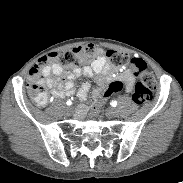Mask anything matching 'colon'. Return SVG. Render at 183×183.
Segmentation results:
<instances>
[{"mask_svg":"<svg viewBox=\"0 0 183 183\" xmlns=\"http://www.w3.org/2000/svg\"><path fill=\"white\" fill-rule=\"evenodd\" d=\"M97 54L98 49L96 47L87 45L65 50L60 53L49 54L41 58L29 73L27 86L30 99L38 106H43L47 102L48 95L41 76V72L45 68L50 67L51 64H56L63 69L79 67ZM105 56L112 67L117 69L129 67L138 77V82L132 94V99L136 104H142L152 98L153 92L157 87L156 79L153 73L148 70L146 63L142 59H130L126 54L114 50H107ZM124 89L125 84L122 81L111 82L104 95L101 96L100 103H95L89 110L87 119L92 120L96 117L99 114L98 109L101 108V104H106L109 97H115L116 95L122 96Z\"/></svg>","mask_w":183,"mask_h":183,"instance_id":"colon-1","label":"colon"}]
</instances>
